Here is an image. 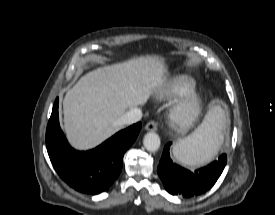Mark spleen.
Here are the masks:
<instances>
[{
    "mask_svg": "<svg viewBox=\"0 0 275 215\" xmlns=\"http://www.w3.org/2000/svg\"><path fill=\"white\" fill-rule=\"evenodd\" d=\"M226 122L224 109L211 107L201 125L173 147L174 157L184 165H202L211 161L223 142Z\"/></svg>",
    "mask_w": 275,
    "mask_h": 215,
    "instance_id": "1",
    "label": "spleen"
}]
</instances>
